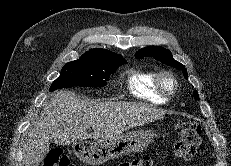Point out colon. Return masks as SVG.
<instances>
[{
    "mask_svg": "<svg viewBox=\"0 0 231 166\" xmlns=\"http://www.w3.org/2000/svg\"><path fill=\"white\" fill-rule=\"evenodd\" d=\"M178 138L174 144L175 156L183 161L190 160L200 143V126L189 120H178L175 124ZM42 166H75L61 148L51 149ZM118 166H152V159L147 156L124 160Z\"/></svg>",
    "mask_w": 231,
    "mask_h": 166,
    "instance_id": "obj_1",
    "label": "colon"
}]
</instances>
